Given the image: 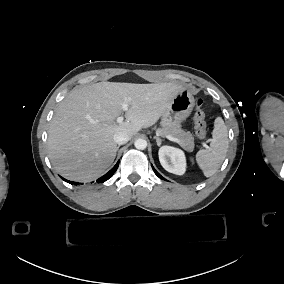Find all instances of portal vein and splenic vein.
I'll return each mask as SVG.
<instances>
[{
    "label": "portal vein and splenic vein",
    "instance_id": "obj_1",
    "mask_svg": "<svg viewBox=\"0 0 284 284\" xmlns=\"http://www.w3.org/2000/svg\"><path fill=\"white\" fill-rule=\"evenodd\" d=\"M128 108H129V105H128L126 102H123V103H122V109H123V111H127ZM123 120H124V117H123V116H119V117H117L116 122H117V123H122ZM166 138H167L168 140H170V141L179 143V139H178V138H175V137H173V136H171V135H167ZM203 147L208 148V145H207L206 143H203Z\"/></svg>",
    "mask_w": 284,
    "mask_h": 284
}]
</instances>
